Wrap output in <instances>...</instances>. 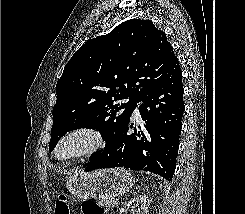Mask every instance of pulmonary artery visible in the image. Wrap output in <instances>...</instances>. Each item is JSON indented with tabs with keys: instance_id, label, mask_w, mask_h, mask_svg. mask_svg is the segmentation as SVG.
Wrapping results in <instances>:
<instances>
[{
	"instance_id": "e3ab8cb5",
	"label": "pulmonary artery",
	"mask_w": 245,
	"mask_h": 214,
	"mask_svg": "<svg viewBox=\"0 0 245 214\" xmlns=\"http://www.w3.org/2000/svg\"><path fill=\"white\" fill-rule=\"evenodd\" d=\"M134 116H138V114H139V111H138V108H136L135 110H134Z\"/></svg>"
}]
</instances>
